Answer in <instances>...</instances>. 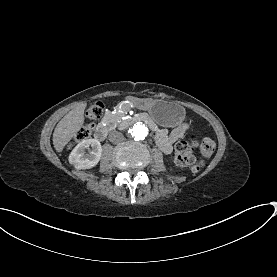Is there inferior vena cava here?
<instances>
[{
	"mask_svg": "<svg viewBox=\"0 0 277 277\" xmlns=\"http://www.w3.org/2000/svg\"><path fill=\"white\" fill-rule=\"evenodd\" d=\"M123 139H124L123 135L117 131H113L109 134V140L111 142L118 143V142H121Z\"/></svg>",
	"mask_w": 277,
	"mask_h": 277,
	"instance_id": "inferior-vena-cava-1",
	"label": "inferior vena cava"
}]
</instances>
